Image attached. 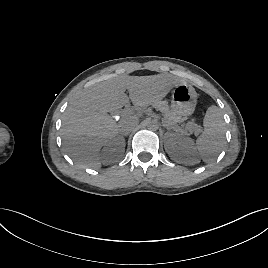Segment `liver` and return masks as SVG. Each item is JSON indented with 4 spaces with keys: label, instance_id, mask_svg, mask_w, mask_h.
I'll use <instances>...</instances> for the list:
<instances>
[{
    "label": "liver",
    "instance_id": "obj_1",
    "mask_svg": "<svg viewBox=\"0 0 268 268\" xmlns=\"http://www.w3.org/2000/svg\"><path fill=\"white\" fill-rule=\"evenodd\" d=\"M180 83L185 82L166 74L123 75L83 89L69 103L62 121L61 136L68 154L82 167H101V147L119 132L108 112L121 109L129 100L135 107L155 106Z\"/></svg>",
    "mask_w": 268,
    "mask_h": 268
}]
</instances>
